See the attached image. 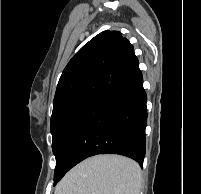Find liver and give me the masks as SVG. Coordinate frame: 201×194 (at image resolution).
<instances>
[{
	"label": "liver",
	"mask_w": 201,
	"mask_h": 194,
	"mask_svg": "<svg viewBox=\"0 0 201 194\" xmlns=\"http://www.w3.org/2000/svg\"><path fill=\"white\" fill-rule=\"evenodd\" d=\"M142 172L133 160L97 155L71 169L54 194H140Z\"/></svg>",
	"instance_id": "liver-1"
}]
</instances>
